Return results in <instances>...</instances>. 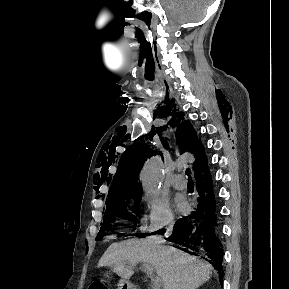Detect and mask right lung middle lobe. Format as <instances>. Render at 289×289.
<instances>
[{
    "label": "right lung middle lobe",
    "mask_w": 289,
    "mask_h": 289,
    "mask_svg": "<svg viewBox=\"0 0 289 289\" xmlns=\"http://www.w3.org/2000/svg\"><path fill=\"white\" fill-rule=\"evenodd\" d=\"M141 197L142 194H137L130 198L107 205L104 214L103 224L98 233L97 239L103 234L105 230L110 228L108 225L114 222L115 218H121L132 221L134 223L135 229L136 216L134 215V213L138 214Z\"/></svg>",
    "instance_id": "1"
}]
</instances>
